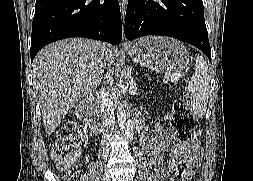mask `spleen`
<instances>
[{"mask_svg": "<svg viewBox=\"0 0 253 181\" xmlns=\"http://www.w3.org/2000/svg\"><path fill=\"white\" fill-rule=\"evenodd\" d=\"M191 94V111L195 116L202 117L207 108L210 89L208 65L202 56H197L195 73L188 86Z\"/></svg>", "mask_w": 253, "mask_h": 181, "instance_id": "1", "label": "spleen"}]
</instances>
